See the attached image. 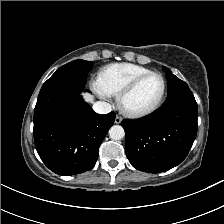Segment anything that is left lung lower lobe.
Segmentation results:
<instances>
[{"label": "left lung lower lobe", "instance_id": "0a47b994", "mask_svg": "<svg viewBox=\"0 0 224 224\" xmlns=\"http://www.w3.org/2000/svg\"><path fill=\"white\" fill-rule=\"evenodd\" d=\"M198 109L189 87L168 95L162 107L140 120H123L126 155L136 169L158 173L180 164L197 134Z\"/></svg>", "mask_w": 224, "mask_h": 224}]
</instances>
